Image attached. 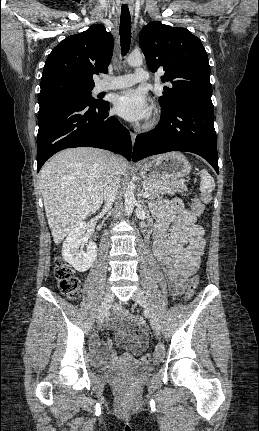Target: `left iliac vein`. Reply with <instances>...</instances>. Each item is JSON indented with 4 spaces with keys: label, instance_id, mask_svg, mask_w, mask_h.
Returning a JSON list of instances; mask_svg holds the SVG:
<instances>
[{
    "label": "left iliac vein",
    "instance_id": "obj_1",
    "mask_svg": "<svg viewBox=\"0 0 259 431\" xmlns=\"http://www.w3.org/2000/svg\"><path fill=\"white\" fill-rule=\"evenodd\" d=\"M132 299L138 303L139 305H141L142 307H144L147 312H148V317H149V321L151 324V327L154 331V333L156 335H159L160 333V324H159V320L156 316V314L154 313V311L152 310V308L149 306L145 296H144V292L142 291V289L137 288L134 293L132 294Z\"/></svg>",
    "mask_w": 259,
    "mask_h": 431
}]
</instances>
